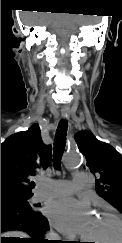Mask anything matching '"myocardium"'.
Returning <instances> with one entry per match:
<instances>
[{
	"instance_id": "1",
	"label": "myocardium",
	"mask_w": 122,
	"mask_h": 243,
	"mask_svg": "<svg viewBox=\"0 0 122 243\" xmlns=\"http://www.w3.org/2000/svg\"><path fill=\"white\" fill-rule=\"evenodd\" d=\"M99 214L111 218L117 225V237L112 243H122V218L118 214L108 210H102Z\"/></svg>"
}]
</instances>
